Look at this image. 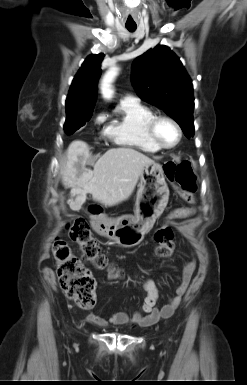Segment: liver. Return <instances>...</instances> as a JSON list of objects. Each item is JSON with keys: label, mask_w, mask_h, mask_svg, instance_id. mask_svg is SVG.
I'll return each mask as SVG.
<instances>
[{"label": "liver", "mask_w": 247, "mask_h": 385, "mask_svg": "<svg viewBox=\"0 0 247 385\" xmlns=\"http://www.w3.org/2000/svg\"><path fill=\"white\" fill-rule=\"evenodd\" d=\"M146 155L132 148H112L94 164L90 159L88 145L73 141L61 161L62 184L71 188L75 200L68 201L72 210H80L87 193L95 201L116 205L127 200L133 193L145 165L152 163ZM92 165L93 170L87 168Z\"/></svg>", "instance_id": "obj_1"}]
</instances>
